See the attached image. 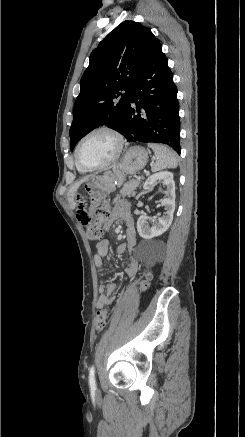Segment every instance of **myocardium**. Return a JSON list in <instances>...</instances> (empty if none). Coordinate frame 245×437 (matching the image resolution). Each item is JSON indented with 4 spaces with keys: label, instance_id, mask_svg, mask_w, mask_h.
<instances>
[{
    "label": "myocardium",
    "instance_id": "obj_1",
    "mask_svg": "<svg viewBox=\"0 0 245 437\" xmlns=\"http://www.w3.org/2000/svg\"><path fill=\"white\" fill-rule=\"evenodd\" d=\"M99 132H105V133H108L114 137V139L116 140L115 153L113 154V156L109 160H107L106 162H104L102 164H98V165L85 164L82 162V160L80 158V154H79L80 147H81L82 143L89 136H91L95 133H99ZM124 148H125V138H124L123 134L118 129H116L112 126H108V125H100V126H97V127H94L92 129L88 130L84 135H82V137L78 140V142L76 144L74 155H75V159H76L77 164L79 166H81L82 168H84L86 170H99V169H104L106 167H109L110 165L115 163L122 155Z\"/></svg>",
    "mask_w": 245,
    "mask_h": 437
}]
</instances>
